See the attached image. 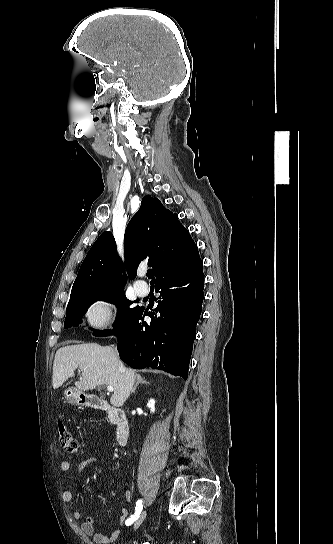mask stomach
Listing matches in <instances>:
<instances>
[{
	"label": "stomach",
	"mask_w": 333,
	"mask_h": 544,
	"mask_svg": "<svg viewBox=\"0 0 333 544\" xmlns=\"http://www.w3.org/2000/svg\"><path fill=\"white\" fill-rule=\"evenodd\" d=\"M64 396H65V399H66L70 404L79 405V404H83V403H84V402H82V398H84L85 396L82 394L81 391H79V390L76 389V388H72V387L67 388V389L64 391Z\"/></svg>",
	"instance_id": "0dacf381"
}]
</instances>
